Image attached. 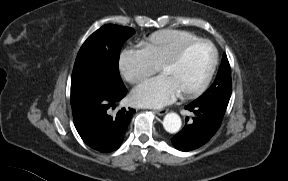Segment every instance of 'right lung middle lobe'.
<instances>
[{
    "label": "right lung middle lobe",
    "mask_w": 288,
    "mask_h": 181,
    "mask_svg": "<svg viewBox=\"0 0 288 181\" xmlns=\"http://www.w3.org/2000/svg\"><path fill=\"white\" fill-rule=\"evenodd\" d=\"M134 34L130 27L104 25L90 35L80 48L71 79V106L76 115L90 84L102 80L112 88L124 86L118 68L120 50Z\"/></svg>",
    "instance_id": "obj_1"
}]
</instances>
